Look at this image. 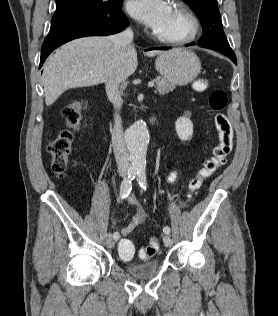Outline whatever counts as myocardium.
<instances>
[{"mask_svg": "<svg viewBox=\"0 0 278 316\" xmlns=\"http://www.w3.org/2000/svg\"><path fill=\"white\" fill-rule=\"evenodd\" d=\"M171 8L185 19L187 23L186 31L181 35L175 36L163 35L155 31L153 33L154 38L162 43L170 45H183L194 41L200 28L196 15L182 2H175Z\"/></svg>", "mask_w": 278, "mask_h": 316, "instance_id": "myocardium-1", "label": "myocardium"}]
</instances>
